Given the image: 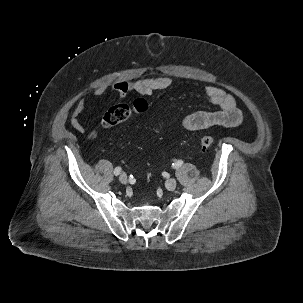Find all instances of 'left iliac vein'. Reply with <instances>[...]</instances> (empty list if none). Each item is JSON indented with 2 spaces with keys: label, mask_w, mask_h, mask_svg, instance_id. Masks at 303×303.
<instances>
[{
  "label": "left iliac vein",
  "mask_w": 303,
  "mask_h": 303,
  "mask_svg": "<svg viewBox=\"0 0 303 303\" xmlns=\"http://www.w3.org/2000/svg\"><path fill=\"white\" fill-rule=\"evenodd\" d=\"M177 186V181L176 179L174 178H170L168 180H166L165 182V187L168 189V190H174Z\"/></svg>",
  "instance_id": "left-iliac-vein-1"
}]
</instances>
